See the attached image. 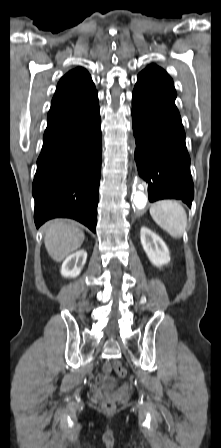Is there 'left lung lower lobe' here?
<instances>
[{
  "instance_id": "0a47b994",
  "label": "left lung lower lobe",
  "mask_w": 221,
  "mask_h": 448,
  "mask_svg": "<svg viewBox=\"0 0 221 448\" xmlns=\"http://www.w3.org/2000/svg\"><path fill=\"white\" fill-rule=\"evenodd\" d=\"M135 160L148 183L149 201L181 199L189 207L194 196L185 132L175 103L139 87L132 94Z\"/></svg>"
}]
</instances>
